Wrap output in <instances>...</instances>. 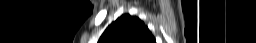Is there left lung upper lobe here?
<instances>
[{
  "label": "left lung upper lobe",
  "mask_w": 256,
  "mask_h": 43,
  "mask_svg": "<svg viewBox=\"0 0 256 43\" xmlns=\"http://www.w3.org/2000/svg\"><path fill=\"white\" fill-rule=\"evenodd\" d=\"M98 43H156V41L143 21L124 14L106 28Z\"/></svg>",
  "instance_id": "left-lung-upper-lobe-1"
}]
</instances>
